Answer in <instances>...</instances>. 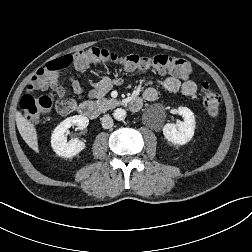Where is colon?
Returning a JSON list of instances; mask_svg holds the SVG:
<instances>
[{"label":"colon","instance_id":"obj_1","mask_svg":"<svg viewBox=\"0 0 252 252\" xmlns=\"http://www.w3.org/2000/svg\"><path fill=\"white\" fill-rule=\"evenodd\" d=\"M116 63L127 71H146L155 69L169 72L180 77H189L193 73V66L184 58L156 55L143 57L136 54L120 55L104 48H89L64 55L46 63L40 68L28 85L27 93L20 100L22 113L32 122L38 121L52 107L54 100L63 98V91L56 88L58 76L66 68L85 70L94 64ZM49 87L52 91L46 95H38ZM201 98L203 105L211 119H215L220 112V96L211 89L207 82L201 84Z\"/></svg>","mask_w":252,"mask_h":252}]
</instances>
